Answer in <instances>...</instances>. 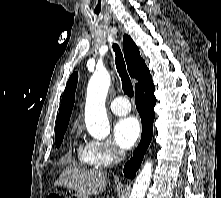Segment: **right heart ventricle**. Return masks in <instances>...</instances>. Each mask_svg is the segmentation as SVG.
I'll list each match as a JSON object with an SVG mask.
<instances>
[{
    "mask_svg": "<svg viewBox=\"0 0 221 198\" xmlns=\"http://www.w3.org/2000/svg\"><path fill=\"white\" fill-rule=\"evenodd\" d=\"M76 153H77L78 160L82 164L88 165V166H94L93 163L90 160V157H89V154H88L87 145H85V146L77 145Z\"/></svg>",
    "mask_w": 221,
    "mask_h": 198,
    "instance_id": "right-heart-ventricle-1",
    "label": "right heart ventricle"
}]
</instances>
